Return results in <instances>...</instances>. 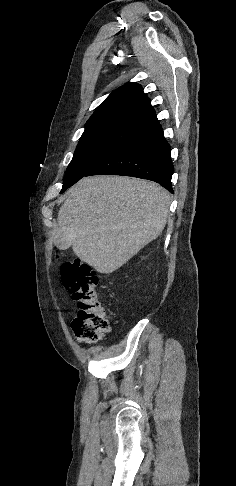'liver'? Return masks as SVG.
Segmentation results:
<instances>
[{"mask_svg":"<svg viewBox=\"0 0 236 486\" xmlns=\"http://www.w3.org/2000/svg\"><path fill=\"white\" fill-rule=\"evenodd\" d=\"M58 212L63 241L99 273L120 268L165 228L170 195L154 182L122 176L85 177Z\"/></svg>","mask_w":236,"mask_h":486,"instance_id":"6515ba94","label":"liver"}]
</instances>
